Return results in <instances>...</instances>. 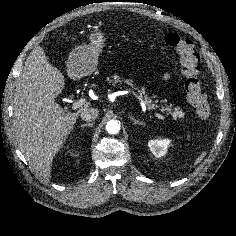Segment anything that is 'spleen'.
Segmentation results:
<instances>
[{
  "label": "spleen",
  "mask_w": 236,
  "mask_h": 236,
  "mask_svg": "<svg viewBox=\"0 0 236 236\" xmlns=\"http://www.w3.org/2000/svg\"><path fill=\"white\" fill-rule=\"evenodd\" d=\"M204 155H205V152H203V153L200 155L198 161L201 160V158H202Z\"/></svg>",
  "instance_id": "3e777b00"
}]
</instances>
